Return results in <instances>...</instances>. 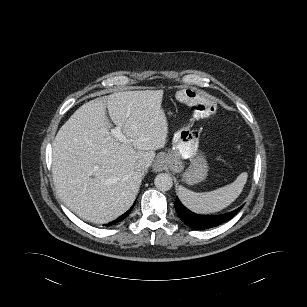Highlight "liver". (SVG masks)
<instances>
[{
    "label": "liver",
    "mask_w": 307,
    "mask_h": 307,
    "mask_svg": "<svg viewBox=\"0 0 307 307\" xmlns=\"http://www.w3.org/2000/svg\"><path fill=\"white\" fill-rule=\"evenodd\" d=\"M163 94L125 91L97 98L78 108L60 128L52 144L53 181L77 216L102 224L131 207L144 174L136 165L145 162L149 167L155 151L167 143ZM106 108L128 142L111 135Z\"/></svg>",
    "instance_id": "liver-1"
}]
</instances>
